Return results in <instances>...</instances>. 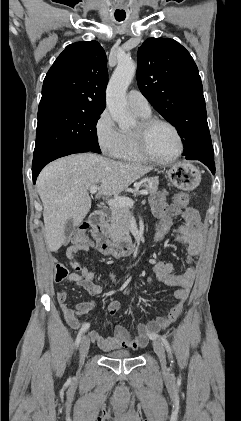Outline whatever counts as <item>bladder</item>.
Instances as JSON below:
<instances>
[{"instance_id": "1", "label": "bladder", "mask_w": 241, "mask_h": 421, "mask_svg": "<svg viewBox=\"0 0 241 421\" xmlns=\"http://www.w3.org/2000/svg\"><path fill=\"white\" fill-rule=\"evenodd\" d=\"M111 359H129L133 357V354L126 350L111 351L106 354Z\"/></svg>"}]
</instances>
